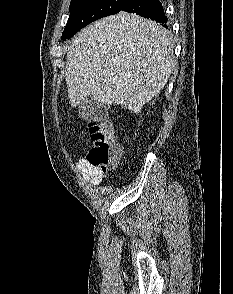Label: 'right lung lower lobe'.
<instances>
[{
  "label": "right lung lower lobe",
  "mask_w": 233,
  "mask_h": 294,
  "mask_svg": "<svg viewBox=\"0 0 233 294\" xmlns=\"http://www.w3.org/2000/svg\"><path fill=\"white\" fill-rule=\"evenodd\" d=\"M121 11L136 13L142 17L150 18L164 24L163 26L167 28V25H165L167 17L159 0H128Z\"/></svg>",
  "instance_id": "right-lung-lower-lobe-1"
}]
</instances>
